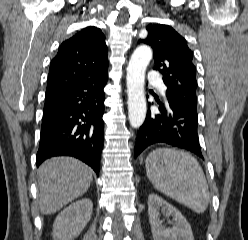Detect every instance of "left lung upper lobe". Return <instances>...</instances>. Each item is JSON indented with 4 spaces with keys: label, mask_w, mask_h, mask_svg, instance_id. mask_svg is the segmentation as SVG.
<instances>
[{
    "label": "left lung upper lobe",
    "mask_w": 248,
    "mask_h": 240,
    "mask_svg": "<svg viewBox=\"0 0 248 240\" xmlns=\"http://www.w3.org/2000/svg\"><path fill=\"white\" fill-rule=\"evenodd\" d=\"M146 30L147 37L140 39L138 43L153 48L154 69L163 74L167 100L197 106L196 68L187 41L168 25H148Z\"/></svg>",
    "instance_id": "1"
}]
</instances>
